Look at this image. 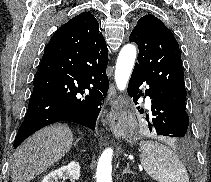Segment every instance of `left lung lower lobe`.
<instances>
[{
  "mask_svg": "<svg viewBox=\"0 0 211 182\" xmlns=\"http://www.w3.org/2000/svg\"><path fill=\"white\" fill-rule=\"evenodd\" d=\"M143 82L149 85L145 94L152 100L150 115H146L149 130L155 135L179 138V144H187V129L189 117L182 107L160 92L144 74L134 68L128 85V94L133 98L135 104L139 97L144 94L140 90Z\"/></svg>",
  "mask_w": 211,
  "mask_h": 182,
  "instance_id": "0a47b994",
  "label": "left lung lower lobe"
}]
</instances>
